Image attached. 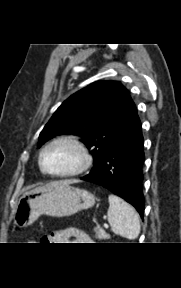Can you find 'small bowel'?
Listing matches in <instances>:
<instances>
[{"label": "small bowel", "instance_id": "obj_1", "mask_svg": "<svg viewBox=\"0 0 181 288\" xmlns=\"http://www.w3.org/2000/svg\"><path fill=\"white\" fill-rule=\"evenodd\" d=\"M47 243H89L90 237L82 230L68 228L52 232L47 238Z\"/></svg>", "mask_w": 181, "mask_h": 288}]
</instances>
